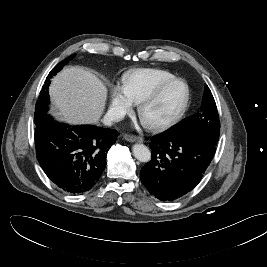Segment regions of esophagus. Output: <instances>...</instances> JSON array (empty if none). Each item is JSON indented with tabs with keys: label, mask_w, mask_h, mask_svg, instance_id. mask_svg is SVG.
<instances>
[{
	"label": "esophagus",
	"mask_w": 267,
	"mask_h": 267,
	"mask_svg": "<svg viewBox=\"0 0 267 267\" xmlns=\"http://www.w3.org/2000/svg\"><path fill=\"white\" fill-rule=\"evenodd\" d=\"M123 138L129 142H139V143L143 142L142 137L135 136V135L126 134L123 136Z\"/></svg>",
	"instance_id": "34e87169"
}]
</instances>
